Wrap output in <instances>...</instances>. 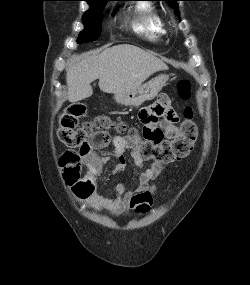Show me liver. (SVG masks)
I'll return each mask as SVG.
<instances>
[{
    "label": "liver",
    "mask_w": 250,
    "mask_h": 285,
    "mask_svg": "<svg viewBox=\"0 0 250 285\" xmlns=\"http://www.w3.org/2000/svg\"><path fill=\"white\" fill-rule=\"evenodd\" d=\"M167 65L156 56L134 45H117L99 54L72 57L66 74L68 100L72 103L90 97L91 83L99 79L105 93L129 91Z\"/></svg>",
    "instance_id": "liver-1"
}]
</instances>
